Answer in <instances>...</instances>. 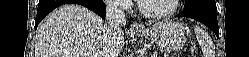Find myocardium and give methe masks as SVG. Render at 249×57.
<instances>
[{
	"instance_id": "obj_1",
	"label": "myocardium",
	"mask_w": 249,
	"mask_h": 57,
	"mask_svg": "<svg viewBox=\"0 0 249 57\" xmlns=\"http://www.w3.org/2000/svg\"><path fill=\"white\" fill-rule=\"evenodd\" d=\"M142 1L143 0L137 1L138 11L143 17L151 19V20H162V19L170 17L177 11L179 7V3H180V0H173L172 7L170 10L162 12V13H149L143 7Z\"/></svg>"
}]
</instances>
